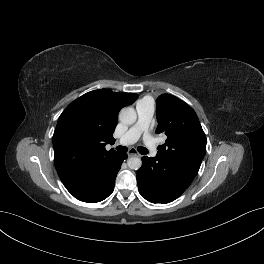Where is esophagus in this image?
<instances>
[{
	"label": "esophagus",
	"mask_w": 264,
	"mask_h": 264,
	"mask_svg": "<svg viewBox=\"0 0 264 264\" xmlns=\"http://www.w3.org/2000/svg\"><path fill=\"white\" fill-rule=\"evenodd\" d=\"M127 154H128L129 157H131V156H140V154L135 149H129Z\"/></svg>",
	"instance_id": "34e87169"
}]
</instances>
